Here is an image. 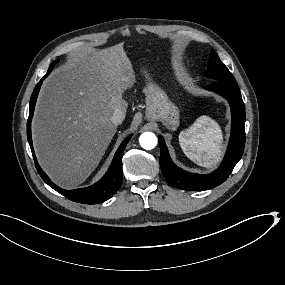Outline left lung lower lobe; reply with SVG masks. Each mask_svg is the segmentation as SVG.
Masks as SVG:
<instances>
[{
	"label": "left lung lower lobe",
	"instance_id": "0a47b994",
	"mask_svg": "<svg viewBox=\"0 0 285 285\" xmlns=\"http://www.w3.org/2000/svg\"><path fill=\"white\" fill-rule=\"evenodd\" d=\"M225 97L231 106L232 127L229 146L220 167L209 175L190 173L177 167L171 160L166 144L159 136L160 166L166 180L173 186L183 190L202 191L212 189L223 183L237 162L241 159L245 146V108L236 81H214L205 86Z\"/></svg>",
	"mask_w": 285,
	"mask_h": 285
}]
</instances>
